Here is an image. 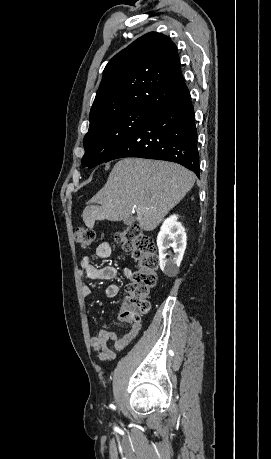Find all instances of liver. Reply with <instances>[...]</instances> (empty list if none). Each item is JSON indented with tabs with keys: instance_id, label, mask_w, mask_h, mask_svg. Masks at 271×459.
Returning <instances> with one entry per match:
<instances>
[{
	"instance_id": "liver-1",
	"label": "liver",
	"mask_w": 271,
	"mask_h": 459,
	"mask_svg": "<svg viewBox=\"0 0 271 459\" xmlns=\"http://www.w3.org/2000/svg\"><path fill=\"white\" fill-rule=\"evenodd\" d=\"M195 180L193 172L173 162L121 158L104 188L89 200L83 222L92 229L95 220L119 222L135 210L141 228L151 231L190 192Z\"/></svg>"
}]
</instances>
